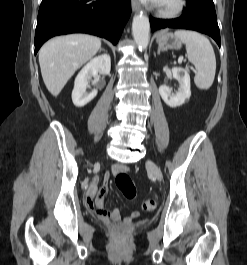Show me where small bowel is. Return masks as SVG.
Wrapping results in <instances>:
<instances>
[{"label": "small bowel", "instance_id": "obj_1", "mask_svg": "<svg viewBox=\"0 0 247 265\" xmlns=\"http://www.w3.org/2000/svg\"><path fill=\"white\" fill-rule=\"evenodd\" d=\"M126 171V167L121 165H115L112 168V173H120ZM110 172H106L103 176V182L100 187H97L96 183L90 185L86 192V203L90 210L95 212L99 217L110 220L118 221L120 219V213L117 209L109 210L104 207V197L108 191V183L110 181ZM139 216L138 211H133L130 218H136Z\"/></svg>", "mask_w": 247, "mask_h": 265}]
</instances>
